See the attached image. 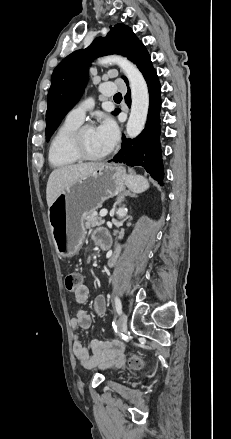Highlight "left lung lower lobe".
Masks as SVG:
<instances>
[{
	"label": "left lung lower lobe",
	"instance_id": "left-lung-lower-lobe-1",
	"mask_svg": "<svg viewBox=\"0 0 231 439\" xmlns=\"http://www.w3.org/2000/svg\"><path fill=\"white\" fill-rule=\"evenodd\" d=\"M135 64L142 72L149 90L150 101L146 126L142 133L134 139H126L123 137L121 150L110 161L124 163L132 167L137 165L143 166L153 179L163 185L164 172L160 145L159 116L161 108V87L157 73L152 66L150 56L146 49L138 56ZM124 80L128 86V80ZM125 99L130 107V89H128ZM119 112V110H116V115Z\"/></svg>",
	"mask_w": 231,
	"mask_h": 439
}]
</instances>
